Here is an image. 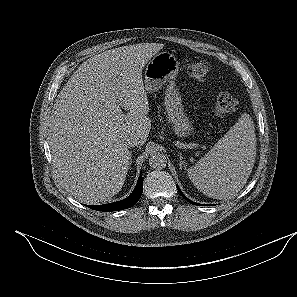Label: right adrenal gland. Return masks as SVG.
<instances>
[{
    "label": "right adrenal gland",
    "instance_id": "right-adrenal-gland-1",
    "mask_svg": "<svg viewBox=\"0 0 297 297\" xmlns=\"http://www.w3.org/2000/svg\"><path fill=\"white\" fill-rule=\"evenodd\" d=\"M132 163V159H131V152H130V162H129V165H131Z\"/></svg>",
    "mask_w": 297,
    "mask_h": 297
}]
</instances>
